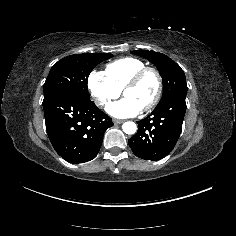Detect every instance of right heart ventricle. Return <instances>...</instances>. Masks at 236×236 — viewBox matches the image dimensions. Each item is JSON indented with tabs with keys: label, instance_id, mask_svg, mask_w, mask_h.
<instances>
[{
	"label": "right heart ventricle",
	"instance_id": "1",
	"mask_svg": "<svg viewBox=\"0 0 236 236\" xmlns=\"http://www.w3.org/2000/svg\"><path fill=\"white\" fill-rule=\"evenodd\" d=\"M146 67L145 62L135 57H122L108 63L104 73L118 89L122 90L126 81L138 70Z\"/></svg>",
	"mask_w": 236,
	"mask_h": 236
}]
</instances>
